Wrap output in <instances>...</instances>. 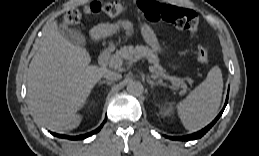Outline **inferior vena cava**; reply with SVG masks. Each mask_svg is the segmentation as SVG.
<instances>
[{
  "label": "inferior vena cava",
  "instance_id": "1",
  "mask_svg": "<svg viewBox=\"0 0 259 156\" xmlns=\"http://www.w3.org/2000/svg\"><path fill=\"white\" fill-rule=\"evenodd\" d=\"M103 77L109 81H117V80H120L122 76H121V74H119L117 72L107 70L104 73Z\"/></svg>",
  "mask_w": 259,
  "mask_h": 156
}]
</instances>
